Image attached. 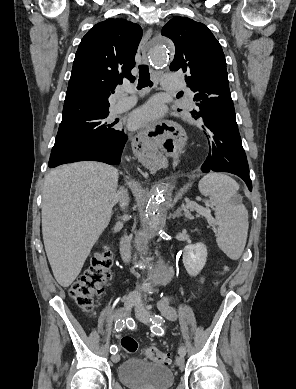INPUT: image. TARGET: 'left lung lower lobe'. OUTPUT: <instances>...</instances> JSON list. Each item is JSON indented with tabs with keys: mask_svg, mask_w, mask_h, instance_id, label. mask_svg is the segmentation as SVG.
I'll list each match as a JSON object with an SVG mask.
<instances>
[{
	"mask_svg": "<svg viewBox=\"0 0 296 389\" xmlns=\"http://www.w3.org/2000/svg\"><path fill=\"white\" fill-rule=\"evenodd\" d=\"M209 101V105L202 112L208 155L201 170L235 174L245 181L251 191L249 166L242 147L231 94L224 93L219 95L217 100Z\"/></svg>",
	"mask_w": 296,
	"mask_h": 389,
	"instance_id": "left-lung-lower-lobe-1",
	"label": "left lung lower lobe"
}]
</instances>
